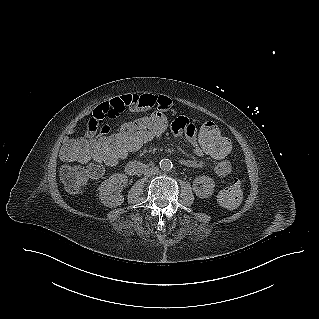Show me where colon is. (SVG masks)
I'll return each instance as SVG.
<instances>
[{"mask_svg":"<svg viewBox=\"0 0 319 319\" xmlns=\"http://www.w3.org/2000/svg\"><path fill=\"white\" fill-rule=\"evenodd\" d=\"M96 109V108H95ZM194 140L215 159L227 160L235 152L233 139L220 126L202 123L195 128ZM169 132L166 115H135L134 120L111 130L99 139H76L67 137L61 151L67 162L61 170V179L66 189L73 194L82 192L89 181L102 174V166L115 167L127 156L135 153L144 144L163 139ZM87 166L79 164L87 162ZM102 165V166H101ZM242 198L241 183L234 179L219 194V203L226 208H235Z\"/></svg>","mask_w":319,"mask_h":319,"instance_id":"1","label":"colon"}]
</instances>
